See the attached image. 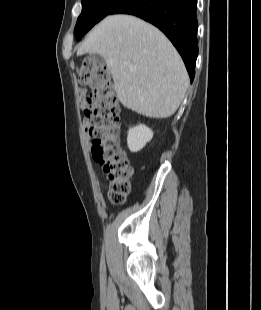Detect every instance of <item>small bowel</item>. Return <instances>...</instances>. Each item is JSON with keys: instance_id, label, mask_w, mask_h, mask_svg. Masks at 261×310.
Wrapping results in <instances>:
<instances>
[{"instance_id": "1", "label": "small bowel", "mask_w": 261, "mask_h": 310, "mask_svg": "<svg viewBox=\"0 0 261 310\" xmlns=\"http://www.w3.org/2000/svg\"><path fill=\"white\" fill-rule=\"evenodd\" d=\"M80 96H81V98H84V96H85V91H84V90H81V91H80ZM84 125H85L86 129H88L89 126H90V124H89L88 121H85V122H84Z\"/></svg>"}]
</instances>
